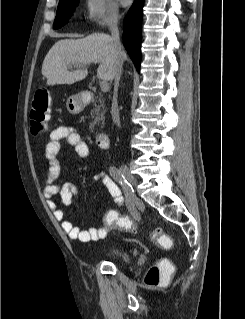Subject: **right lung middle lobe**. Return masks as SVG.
<instances>
[{"mask_svg":"<svg viewBox=\"0 0 245 319\" xmlns=\"http://www.w3.org/2000/svg\"><path fill=\"white\" fill-rule=\"evenodd\" d=\"M78 2L79 0H60L54 22V29H58L68 22Z\"/></svg>","mask_w":245,"mask_h":319,"instance_id":"dd1d6c3e","label":"right lung middle lobe"}]
</instances>
